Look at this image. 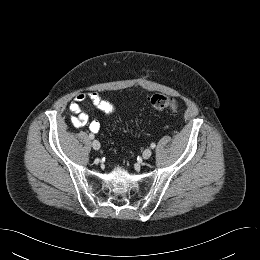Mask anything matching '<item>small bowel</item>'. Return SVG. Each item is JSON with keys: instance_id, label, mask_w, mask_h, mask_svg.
Returning a JSON list of instances; mask_svg holds the SVG:
<instances>
[{"instance_id": "obj_1", "label": "small bowel", "mask_w": 260, "mask_h": 260, "mask_svg": "<svg viewBox=\"0 0 260 260\" xmlns=\"http://www.w3.org/2000/svg\"><path fill=\"white\" fill-rule=\"evenodd\" d=\"M85 101H90L95 107L107 114L116 112V107L110 101L101 97L98 92L89 91L86 93H79L69 104L71 112L70 122L76 128L88 126L90 131L98 133L100 130V123L96 120L90 121L87 114L83 111L81 104Z\"/></svg>"}]
</instances>
